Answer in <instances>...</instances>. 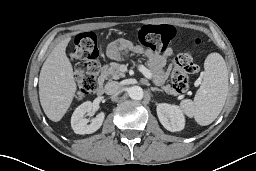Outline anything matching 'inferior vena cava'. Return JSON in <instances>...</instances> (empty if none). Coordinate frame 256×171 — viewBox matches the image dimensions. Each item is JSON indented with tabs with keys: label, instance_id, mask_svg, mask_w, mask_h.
Returning a JSON list of instances; mask_svg holds the SVG:
<instances>
[{
	"label": "inferior vena cava",
	"instance_id": "602c4592",
	"mask_svg": "<svg viewBox=\"0 0 256 171\" xmlns=\"http://www.w3.org/2000/svg\"><path fill=\"white\" fill-rule=\"evenodd\" d=\"M120 85L118 82L112 81L105 85V93L107 95H113L118 92Z\"/></svg>",
	"mask_w": 256,
	"mask_h": 171
}]
</instances>
